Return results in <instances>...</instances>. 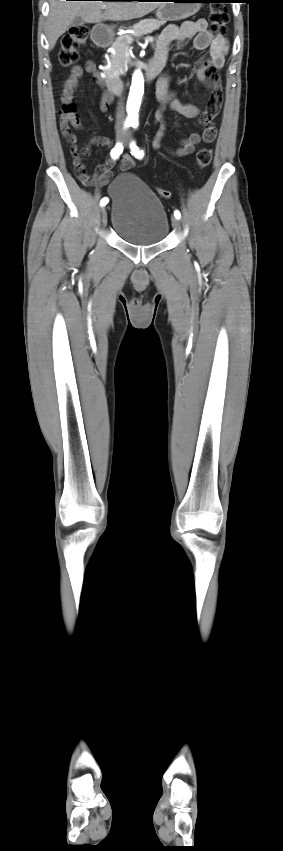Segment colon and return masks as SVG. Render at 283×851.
Wrapping results in <instances>:
<instances>
[{
	"instance_id": "colon-1",
	"label": "colon",
	"mask_w": 283,
	"mask_h": 851,
	"mask_svg": "<svg viewBox=\"0 0 283 851\" xmlns=\"http://www.w3.org/2000/svg\"><path fill=\"white\" fill-rule=\"evenodd\" d=\"M209 20L213 32L219 35H224L226 33L229 16L224 6H213L210 11ZM88 34V28L84 25H81L71 29L69 32L63 35L61 39V47L58 54V59L61 65L70 66L78 60V50L80 46H82L86 42ZM62 111L64 117L67 115H73L75 117V105L73 103L64 104ZM215 131L216 130L213 126H208L206 128V134L209 136H213L215 134ZM211 160L212 150L210 148H201L196 154V163L201 168L208 166ZM76 175L82 182L86 184L92 182V177L89 176L87 172L79 168H76ZM158 193L163 199H168L170 197V192L168 190L159 188Z\"/></svg>"
}]
</instances>
